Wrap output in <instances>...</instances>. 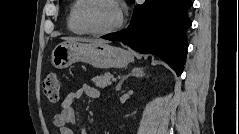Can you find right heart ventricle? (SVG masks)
Here are the masks:
<instances>
[{"label":"right heart ventricle","mask_w":239,"mask_h":134,"mask_svg":"<svg viewBox=\"0 0 239 134\" xmlns=\"http://www.w3.org/2000/svg\"><path fill=\"white\" fill-rule=\"evenodd\" d=\"M83 0H76L73 1L69 10L68 18H67V26L69 30L78 35H83L86 32L80 26L77 15L80 5L82 4Z\"/></svg>","instance_id":"right-heart-ventricle-1"}]
</instances>
